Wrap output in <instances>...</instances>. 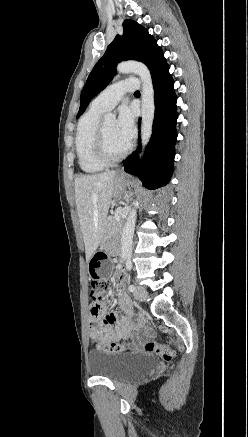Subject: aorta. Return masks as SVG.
<instances>
[{"label": "aorta", "instance_id": "762f6f07", "mask_svg": "<svg viewBox=\"0 0 248 437\" xmlns=\"http://www.w3.org/2000/svg\"><path fill=\"white\" fill-rule=\"evenodd\" d=\"M117 71L122 74L134 73L138 75L142 82V106H141V140L143 156L146 145L148 144L153 130V120L155 113L154 89L149 69L141 62L127 61L118 64ZM108 118H114V114H108ZM136 206L135 203H133ZM136 208L133 207L127 217L121 236V255L125 260H129L132 254L133 235L136 224Z\"/></svg>", "mask_w": 248, "mask_h": 437}]
</instances>
